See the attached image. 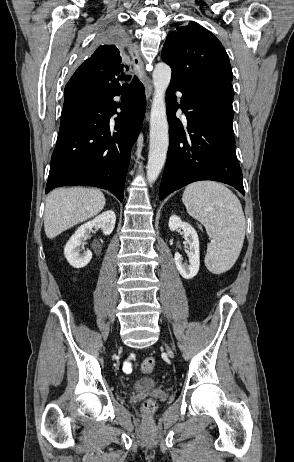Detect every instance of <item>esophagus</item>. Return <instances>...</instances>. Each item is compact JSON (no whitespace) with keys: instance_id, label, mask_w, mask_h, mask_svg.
Masks as SVG:
<instances>
[{"instance_id":"1","label":"esophagus","mask_w":294,"mask_h":462,"mask_svg":"<svg viewBox=\"0 0 294 462\" xmlns=\"http://www.w3.org/2000/svg\"><path fill=\"white\" fill-rule=\"evenodd\" d=\"M129 53L132 58V64L134 69L136 70L140 79L145 83L147 90V98L150 99L152 95V84L146 76L144 65L141 60L140 49L137 45H134L130 48Z\"/></svg>"}]
</instances>
